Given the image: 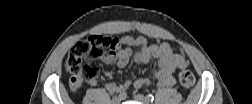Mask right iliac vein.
Instances as JSON below:
<instances>
[{"label": "right iliac vein", "instance_id": "63e3f726", "mask_svg": "<svg viewBox=\"0 0 252 104\" xmlns=\"http://www.w3.org/2000/svg\"><path fill=\"white\" fill-rule=\"evenodd\" d=\"M120 101H121L120 98L114 97L113 100H112V103H113V104H119Z\"/></svg>", "mask_w": 252, "mask_h": 104}]
</instances>
